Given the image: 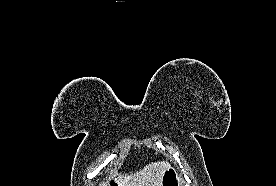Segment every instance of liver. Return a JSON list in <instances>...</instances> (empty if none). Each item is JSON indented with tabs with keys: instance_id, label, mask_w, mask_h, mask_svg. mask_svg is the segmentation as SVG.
Wrapping results in <instances>:
<instances>
[{
	"instance_id": "1",
	"label": "liver",
	"mask_w": 276,
	"mask_h": 186,
	"mask_svg": "<svg viewBox=\"0 0 276 186\" xmlns=\"http://www.w3.org/2000/svg\"><path fill=\"white\" fill-rule=\"evenodd\" d=\"M168 167L167 161L152 162L134 174L122 175L116 171L113 178L118 186H161L162 175Z\"/></svg>"
}]
</instances>
